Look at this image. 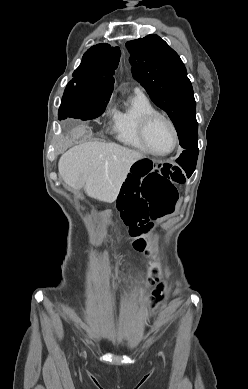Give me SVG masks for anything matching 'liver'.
<instances>
[{"label":"liver","mask_w":248,"mask_h":389,"mask_svg":"<svg viewBox=\"0 0 248 389\" xmlns=\"http://www.w3.org/2000/svg\"><path fill=\"white\" fill-rule=\"evenodd\" d=\"M144 155L116 143L87 142L72 147L58 163L59 175L75 190L103 202H113L131 166Z\"/></svg>","instance_id":"6515ba94"}]
</instances>
